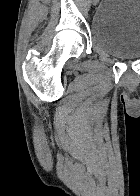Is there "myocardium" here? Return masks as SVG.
<instances>
[{
  "label": "myocardium",
  "instance_id": "1",
  "mask_svg": "<svg viewBox=\"0 0 140 196\" xmlns=\"http://www.w3.org/2000/svg\"><path fill=\"white\" fill-rule=\"evenodd\" d=\"M87 192H105V191H87ZM121 192H125V191H121Z\"/></svg>",
  "mask_w": 140,
  "mask_h": 196
}]
</instances>
